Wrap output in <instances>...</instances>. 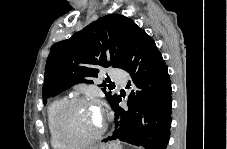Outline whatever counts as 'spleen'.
<instances>
[{
    "mask_svg": "<svg viewBox=\"0 0 227 149\" xmlns=\"http://www.w3.org/2000/svg\"><path fill=\"white\" fill-rule=\"evenodd\" d=\"M111 149H122L121 145H119L118 143H113L111 145Z\"/></svg>",
    "mask_w": 227,
    "mask_h": 149,
    "instance_id": "spleen-1",
    "label": "spleen"
}]
</instances>
